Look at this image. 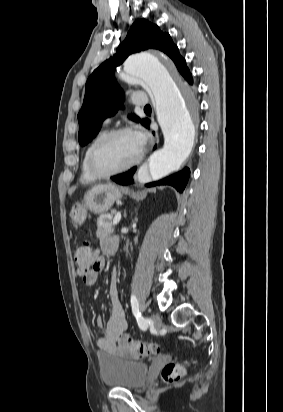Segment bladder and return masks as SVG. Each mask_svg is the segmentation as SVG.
Here are the masks:
<instances>
[{"instance_id":"1","label":"bladder","mask_w":283,"mask_h":412,"mask_svg":"<svg viewBox=\"0 0 283 412\" xmlns=\"http://www.w3.org/2000/svg\"><path fill=\"white\" fill-rule=\"evenodd\" d=\"M99 371L108 388L138 390L147 382L149 367L141 361L103 357L99 361Z\"/></svg>"}]
</instances>
